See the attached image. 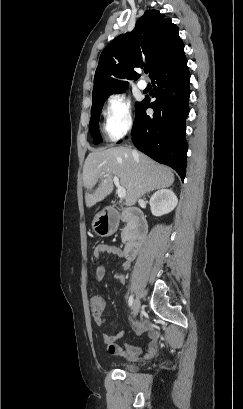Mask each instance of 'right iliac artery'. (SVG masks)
<instances>
[{
  "label": "right iliac artery",
  "instance_id": "right-iliac-artery-1",
  "mask_svg": "<svg viewBox=\"0 0 243 409\" xmlns=\"http://www.w3.org/2000/svg\"><path fill=\"white\" fill-rule=\"evenodd\" d=\"M132 304H133V296L131 295V296L129 297V306L131 307Z\"/></svg>",
  "mask_w": 243,
  "mask_h": 409
}]
</instances>
